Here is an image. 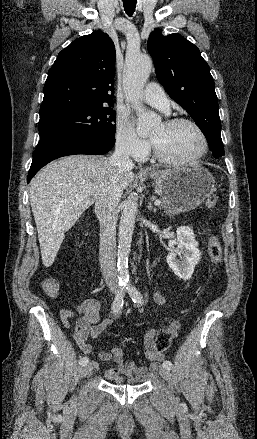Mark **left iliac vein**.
<instances>
[{
	"mask_svg": "<svg viewBox=\"0 0 257 439\" xmlns=\"http://www.w3.org/2000/svg\"><path fill=\"white\" fill-rule=\"evenodd\" d=\"M160 375L169 384V387L172 389V375L170 371L167 368H162L160 370Z\"/></svg>",
	"mask_w": 257,
	"mask_h": 439,
	"instance_id": "obj_1",
	"label": "left iliac vein"
}]
</instances>
